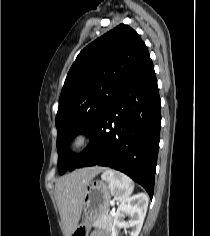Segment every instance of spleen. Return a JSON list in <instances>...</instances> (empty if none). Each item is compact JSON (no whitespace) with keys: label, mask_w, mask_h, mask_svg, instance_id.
<instances>
[{"label":"spleen","mask_w":210,"mask_h":236,"mask_svg":"<svg viewBox=\"0 0 210 236\" xmlns=\"http://www.w3.org/2000/svg\"><path fill=\"white\" fill-rule=\"evenodd\" d=\"M101 178L109 183L112 194L120 202L125 201L133 192V181L123 173L107 169L103 172Z\"/></svg>","instance_id":"spleen-1"}]
</instances>
